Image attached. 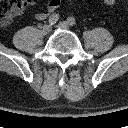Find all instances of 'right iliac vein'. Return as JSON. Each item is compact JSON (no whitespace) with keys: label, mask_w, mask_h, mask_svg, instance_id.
<instances>
[{"label":"right iliac vein","mask_w":128,"mask_h":128,"mask_svg":"<svg viewBox=\"0 0 128 128\" xmlns=\"http://www.w3.org/2000/svg\"><path fill=\"white\" fill-rule=\"evenodd\" d=\"M51 30H52V26H51V25H49V24L44 25L43 31H44L45 33H49V32H51Z\"/></svg>","instance_id":"63e3f726"}]
</instances>
